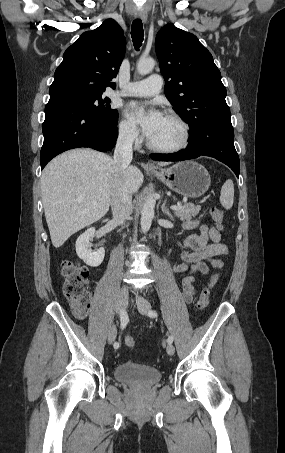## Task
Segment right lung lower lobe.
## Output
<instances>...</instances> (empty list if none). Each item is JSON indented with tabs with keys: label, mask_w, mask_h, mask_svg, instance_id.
Segmentation results:
<instances>
[{
	"label": "right lung lower lobe",
	"mask_w": 285,
	"mask_h": 453,
	"mask_svg": "<svg viewBox=\"0 0 285 453\" xmlns=\"http://www.w3.org/2000/svg\"><path fill=\"white\" fill-rule=\"evenodd\" d=\"M117 121H102L65 96L50 97L42 126L44 142L41 169L56 155L73 148L89 147L106 152L116 144Z\"/></svg>",
	"instance_id": "1"
}]
</instances>
